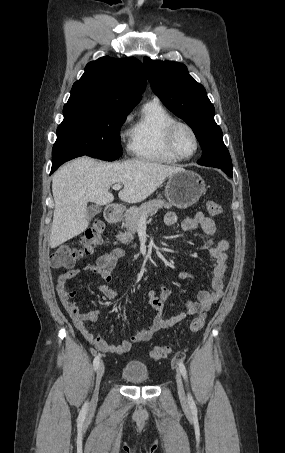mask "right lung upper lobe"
<instances>
[{
    "label": "right lung upper lobe",
    "mask_w": 285,
    "mask_h": 453,
    "mask_svg": "<svg viewBox=\"0 0 285 453\" xmlns=\"http://www.w3.org/2000/svg\"><path fill=\"white\" fill-rule=\"evenodd\" d=\"M146 76L136 58L101 57L89 62L73 84L67 104L103 105L132 110L141 100Z\"/></svg>",
    "instance_id": "obj_1"
}]
</instances>
